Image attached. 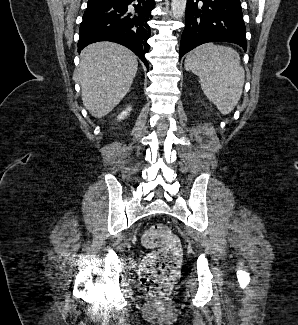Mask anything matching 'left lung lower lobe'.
Listing matches in <instances>:
<instances>
[{
    "mask_svg": "<svg viewBox=\"0 0 298 325\" xmlns=\"http://www.w3.org/2000/svg\"><path fill=\"white\" fill-rule=\"evenodd\" d=\"M245 34L240 0H187L180 58L207 42L236 43L246 51Z\"/></svg>",
    "mask_w": 298,
    "mask_h": 325,
    "instance_id": "left-lung-lower-lobe-1",
    "label": "left lung lower lobe"
}]
</instances>
